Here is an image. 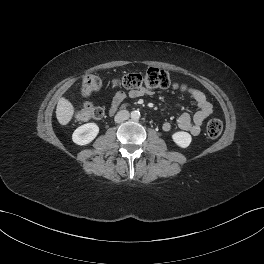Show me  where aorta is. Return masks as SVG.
I'll return each mask as SVG.
<instances>
[{
    "instance_id": "762f6f07",
    "label": "aorta",
    "mask_w": 264,
    "mask_h": 264,
    "mask_svg": "<svg viewBox=\"0 0 264 264\" xmlns=\"http://www.w3.org/2000/svg\"><path fill=\"white\" fill-rule=\"evenodd\" d=\"M131 118L133 119V120H139V118H140V112L138 111V110H134V111H132L131 112Z\"/></svg>"
}]
</instances>
